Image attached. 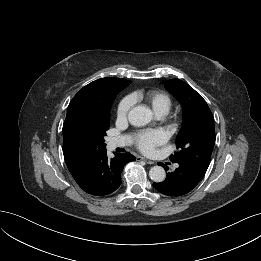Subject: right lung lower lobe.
<instances>
[{
  "mask_svg": "<svg viewBox=\"0 0 261 261\" xmlns=\"http://www.w3.org/2000/svg\"><path fill=\"white\" fill-rule=\"evenodd\" d=\"M131 161H135V157L127 152L109 159L105 149L70 170V173L88 194L105 196L118 189L121 184V171L125 164Z\"/></svg>",
  "mask_w": 261,
  "mask_h": 261,
  "instance_id": "1",
  "label": "right lung lower lobe"
}]
</instances>
